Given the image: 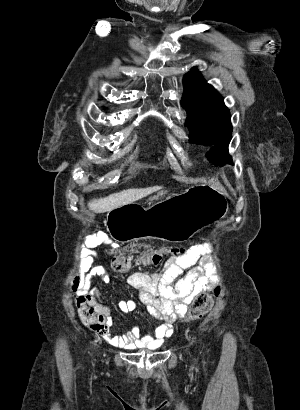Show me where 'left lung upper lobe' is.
Instances as JSON below:
<instances>
[{"label":"left lung upper lobe","mask_w":300,"mask_h":410,"mask_svg":"<svg viewBox=\"0 0 300 410\" xmlns=\"http://www.w3.org/2000/svg\"><path fill=\"white\" fill-rule=\"evenodd\" d=\"M183 84L181 103L188 114L186 125L190 130V141L202 145L214 144L206 156L215 165L232 163L228 154L231 117L223 98L196 69L185 75Z\"/></svg>","instance_id":"5c2ea615"}]
</instances>
